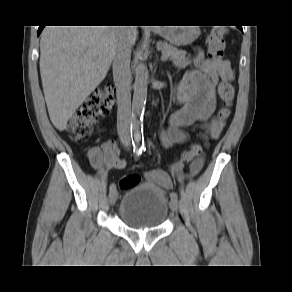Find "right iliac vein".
Instances as JSON below:
<instances>
[{
	"mask_svg": "<svg viewBox=\"0 0 292 292\" xmlns=\"http://www.w3.org/2000/svg\"><path fill=\"white\" fill-rule=\"evenodd\" d=\"M117 197H118V194H117L116 190L110 191V193H109V202H110L111 205H114L116 203Z\"/></svg>",
	"mask_w": 292,
	"mask_h": 292,
	"instance_id": "obj_1",
	"label": "right iliac vein"
}]
</instances>
